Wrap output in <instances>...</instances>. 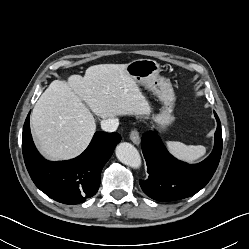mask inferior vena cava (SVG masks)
Returning <instances> with one entry per match:
<instances>
[{"instance_id":"602c4592","label":"inferior vena cava","mask_w":249,"mask_h":249,"mask_svg":"<svg viewBox=\"0 0 249 249\" xmlns=\"http://www.w3.org/2000/svg\"><path fill=\"white\" fill-rule=\"evenodd\" d=\"M119 122L116 118H108L101 121V128L106 132H114L117 130Z\"/></svg>"}]
</instances>
